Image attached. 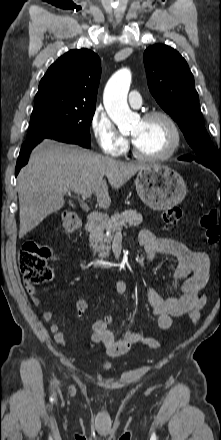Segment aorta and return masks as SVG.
I'll return each mask as SVG.
<instances>
[{"label":"aorta","instance_id":"762f6f07","mask_svg":"<svg viewBox=\"0 0 221 440\" xmlns=\"http://www.w3.org/2000/svg\"><path fill=\"white\" fill-rule=\"evenodd\" d=\"M130 84V71L121 69L109 79L103 94V103L107 114L119 129L128 126L133 117L127 103Z\"/></svg>","mask_w":221,"mask_h":440}]
</instances>
